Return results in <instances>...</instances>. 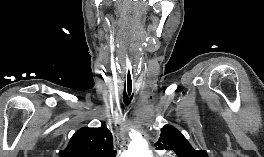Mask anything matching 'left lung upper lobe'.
Returning <instances> with one entry per match:
<instances>
[{"label": "left lung upper lobe", "instance_id": "5c2ea615", "mask_svg": "<svg viewBox=\"0 0 264 157\" xmlns=\"http://www.w3.org/2000/svg\"><path fill=\"white\" fill-rule=\"evenodd\" d=\"M155 146L158 150H173L177 157H208L206 150L193 149L181 132L171 125H165L161 129Z\"/></svg>", "mask_w": 264, "mask_h": 157}]
</instances>
